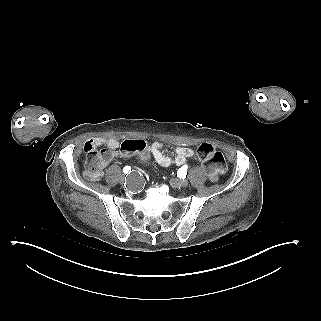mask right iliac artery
<instances>
[{"instance_id":"82829eb1","label":"right iliac artery","mask_w":321,"mask_h":321,"mask_svg":"<svg viewBox=\"0 0 321 321\" xmlns=\"http://www.w3.org/2000/svg\"><path fill=\"white\" fill-rule=\"evenodd\" d=\"M123 172H124L125 174L131 172V167L125 166V167L123 168Z\"/></svg>"}]
</instances>
